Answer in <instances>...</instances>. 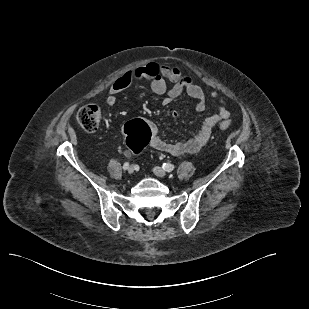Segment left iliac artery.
I'll use <instances>...</instances> for the list:
<instances>
[{"label": "left iliac artery", "instance_id": "1", "mask_svg": "<svg viewBox=\"0 0 309 309\" xmlns=\"http://www.w3.org/2000/svg\"><path fill=\"white\" fill-rule=\"evenodd\" d=\"M162 167L167 172H171V171H173L175 169V166L173 164H171V163H163Z\"/></svg>", "mask_w": 309, "mask_h": 309}]
</instances>
